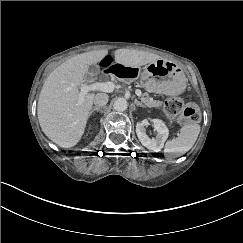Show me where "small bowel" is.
Here are the masks:
<instances>
[{"instance_id":"obj_1","label":"small bowel","mask_w":243,"mask_h":243,"mask_svg":"<svg viewBox=\"0 0 243 243\" xmlns=\"http://www.w3.org/2000/svg\"><path fill=\"white\" fill-rule=\"evenodd\" d=\"M117 63H120L116 55L112 53H106L100 60V65L109 68Z\"/></svg>"}]
</instances>
